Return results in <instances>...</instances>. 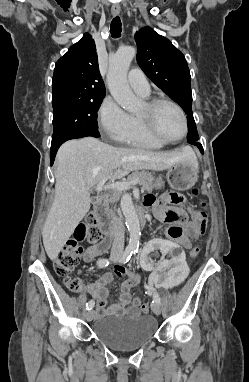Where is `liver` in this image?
<instances>
[{
	"mask_svg": "<svg viewBox=\"0 0 249 382\" xmlns=\"http://www.w3.org/2000/svg\"><path fill=\"white\" fill-rule=\"evenodd\" d=\"M189 160L197 161L189 147L181 151L152 152L113 147L93 137L65 142L56 156L55 197L42 230L48 257L52 261L57 258L90 210V192L95 185L123 178L131 171H162Z\"/></svg>",
	"mask_w": 249,
	"mask_h": 382,
	"instance_id": "1",
	"label": "liver"
}]
</instances>
